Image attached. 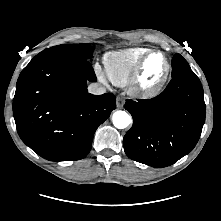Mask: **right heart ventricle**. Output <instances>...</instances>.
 <instances>
[{
  "instance_id": "1",
  "label": "right heart ventricle",
  "mask_w": 221,
  "mask_h": 221,
  "mask_svg": "<svg viewBox=\"0 0 221 221\" xmlns=\"http://www.w3.org/2000/svg\"><path fill=\"white\" fill-rule=\"evenodd\" d=\"M151 49L130 47L108 51L103 56L105 73L117 86H126L141 58Z\"/></svg>"
}]
</instances>
